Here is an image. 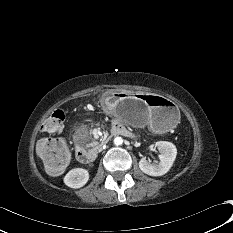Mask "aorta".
Masks as SVG:
<instances>
[{
	"mask_svg": "<svg viewBox=\"0 0 233 233\" xmlns=\"http://www.w3.org/2000/svg\"><path fill=\"white\" fill-rule=\"evenodd\" d=\"M114 144H115L116 146L122 145V144H123V139H122V137H119V136L115 137V138H114Z\"/></svg>",
	"mask_w": 233,
	"mask_h": 233,
	"instance_id": "obj_1",
	"label": "aorta"
}]
</instances>
